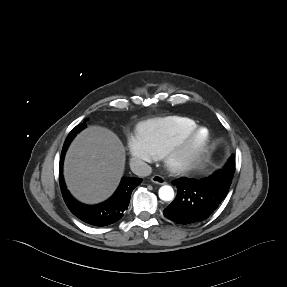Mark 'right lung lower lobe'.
<instances>
[{"label": "right lung lower lobe", "instance_id": "obj_1", "mask_svg": "<svg viewBox=\"0 0 287 287\" xmlns=\"http://www.w3.org/2000/svg\"><path fill=\"white\" fill-rule=\"evenodd\" d=\"M86 127H81L75 133H70L64 143L59 164L60 188L69 210L81 221L96 227H103L119 221L128 208L133 189L142 182V178H122L115 193L105 202L97 205H85L72 197L63 179V160L66 150L75 135Z\"/></svg>", "mask_w": 287, "mask_h": 287}]
</instances>
